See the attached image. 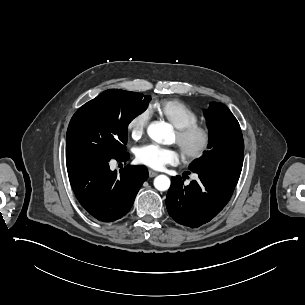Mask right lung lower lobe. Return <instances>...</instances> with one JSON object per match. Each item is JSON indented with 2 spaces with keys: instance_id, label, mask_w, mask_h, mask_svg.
<instances>
[{
  "instance_id": "obj_1",
  "label": "right lung lower lobe",
  "mask_w": 305,
  "mask_h": 305,
  "mask_svg": "<svg viewBox=\"0 0 305 305\" xmlns=\"http://www.w3.org/2000/svg\"><path fill=\"white\" fill-rule=\"evenodd\" d=\"M117 161H127L124 152ZM110 160L92 157L66 159L72 189L80 204L99 221L112 222L131 209L136 194L148 178L145 166L127 165L120 175L109 168Z\"/></svg>"
}]
</instances>
